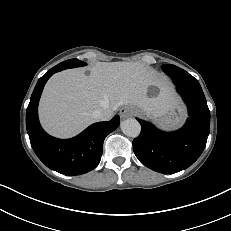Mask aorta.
<instances>
[{"label":"aorta","instance_id":"1","mask_svg":"<svg viewBox=\"0 0 231 231\" xmlns=\"http://www.w3.org/2000/svg\"><path fill=\"white\" fill-rule=\"evenodd\" d=\"M121 130L125 135L135 138L141 132V125L136 119L129 118L121 122Z\"/></svg>","mask_w":231,"mask_h":231}]
</instances>
